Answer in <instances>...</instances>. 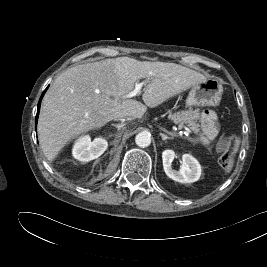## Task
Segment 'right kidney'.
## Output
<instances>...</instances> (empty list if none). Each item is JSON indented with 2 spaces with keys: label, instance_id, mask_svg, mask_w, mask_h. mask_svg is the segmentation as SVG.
<instances>
[{
  "label": "right kidney",
  "instance_id": "obj_1",
  "mask_svg": "<svg viewBox=\"0 0 267 267\" xmlns=\"http://www.w3.org/2000/svg\"><path fill=\"white\" fill-rule=\"evenodd\" d=\"M108 147V142L97 137L93 141L89 135L80 137L74 144L73 157L82 162H89L101 156Z\"/></svg>",
  "mask_w": 267,
  "mask_h": 267
}]
</instances>
